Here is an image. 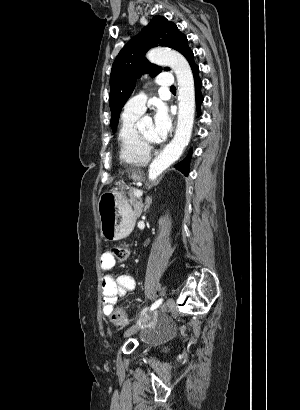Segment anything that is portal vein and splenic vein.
<instances>
[{"label": "portal vein and splenic vein", "mask_w": 300, "mask_h": 410, "mask_svg": "<svg viewBox=\"0 0 300 410\" xmlns=\"http://www.w3.org/2000/svg\"><path fill=\"white\" fill-rule=\"evenodd\" d=\"M133 194H134L136 197H141V196L143 195V192H142L141 190H135V191L133 192Z\"/></svg>", "instance_id": "obj_1"}]
</instances>
